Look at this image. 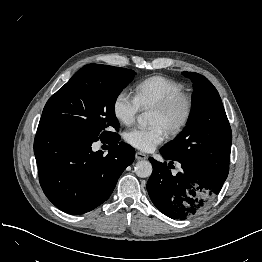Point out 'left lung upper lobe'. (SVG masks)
Instances as JSON below:
<instances>
[{
	"instance_id": "obj_1",
	"label": "left lung upper lobe",
	"mask_w": 262,
	"mask_h": 262,
	"mask_svg": "<svg viewBox=\"0 0 262 262\" xmlns=\"http://www.w3.org/2000/svg\"><path fill=\"white\" fill-rule=\"evenodd\" d=\"M193 82L192 107L185 129L160 150L206 175L229 166L232 132L216 88L204 76L183 72Z\"/></svg>"
}]
</instances>
